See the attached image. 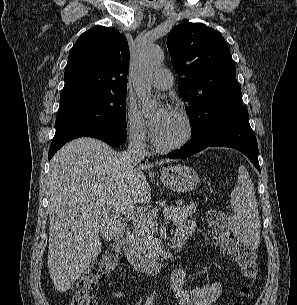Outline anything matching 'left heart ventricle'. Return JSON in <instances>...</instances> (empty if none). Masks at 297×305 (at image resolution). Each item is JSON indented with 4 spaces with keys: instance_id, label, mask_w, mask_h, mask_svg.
Returning <instances> with one entry per match:
<instances>
[{
    "instance_id": "b2bd125f",
    "label": "left heart ventricle",
    "mask_w": 297,
    "mask_h": 305,
    "mask_svg": "<svg viewBox=\"0 0 297 305\" xmlns=\"http://www.w3.org/2000/svg\"><path fill=\"white\" fill-rule=\"evenodd\" d=\"M184 133V125L180 118L172 113L166 125L154 135L161 144H170L177 141Z\"/></svg>"
}]
</instances>
